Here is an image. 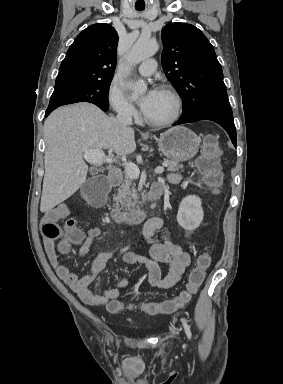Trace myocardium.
<instances>
[{
	"mask_svg": "<svg viewBox=\"0 0 283 384\" xmlns=\"http://www.w3.org/2000/svg\"><path fill=\"white\" fill-rule=\"evenodd\" d=\"M160 90L164 91L170 97L173 104L172 114L164 120H149L142 115V119L147 125L157 128L166 127L176 122L180 116L182 108L180 96L173 88L168 85H162Z\"/></svg>",
	"mask_w": 283,
	"mask_h": 384,
	"instance_id": "1",
	"label": "myocardium"
}]
</instances>
